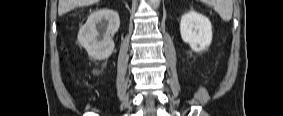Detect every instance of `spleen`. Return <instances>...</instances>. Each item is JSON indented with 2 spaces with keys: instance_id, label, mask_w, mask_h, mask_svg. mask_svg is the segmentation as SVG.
Here are the masks:
<instances>
[{
  "instance_id": "obj_1",
  "label": "spleen",
  "mask_w": 283,
  "mask_h": 116,
  "mask_svg": "<svg viewBox=\"0 0 283 116\" xmlns=\"http://www.w3.org/2000/svg\"><path fill=\"white\" fill-rule=\"evenodd\" d=\"M205 2L213 7L223 21H230L233 13L232 0H206Z\"/></svg>"
}]
</instances>
